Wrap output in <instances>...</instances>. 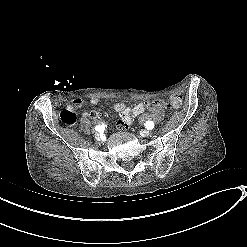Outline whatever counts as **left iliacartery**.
Instances as JSON below:
<instances>
[{
  "label": "left iliac artery",
  "mask_w": 247,
  "mask_h": 247,
  "mask_svg": "<svg viewBox=\"0 0 247 247\" xmlns=\"http://www.w3.org/2000/svg\"><path fill=\"white\" fill-rule=\"evenodd\" d=\"M145 128L149 129V130H152L154 128V123L153 121H147L145 123Z\"/></svg>",
  "instance_id": "44dca946"
}]
</instances>
